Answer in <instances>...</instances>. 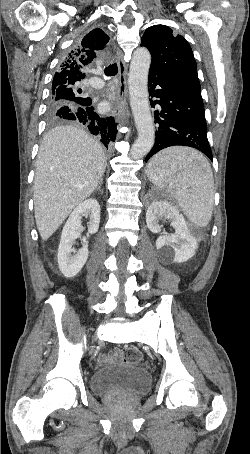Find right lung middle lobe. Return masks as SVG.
<instances>
[{"label": "right lung middle lobe", "instance_id": "obj_1", "mask_svg": "<svg viewBox=\"0 0 250 454\" xmlns=\"http://www.w3.org/2000/svg\"><path fill=\"white\" fill-rule=\"evenodd\" d=\"M81 92V89H77V84L73 83L52 85L47 111L49 122L55 123L64 120L56 113L57 109L61 106H74L89 99L87 97L80 96Z\"/></svg>", "mask_w": 250, "mask_h": 454}]
</instances>
